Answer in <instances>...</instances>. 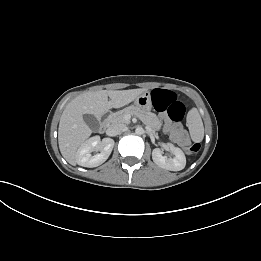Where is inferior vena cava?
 <instances>
[{"label": "inferior vena cava", "instance_id": "602c4592", "mask_svg": "<svg viewBox=\"0 0 261 261\" xmlns=\"http://www.w3.org/2000/svg\"><path fill=\"white\" fill-rule=\"evenodd\" d=\"M126 126L124 124L121 123H115L110 125L107 130H106V134L108 136H117L119 134H121L124 130H125Z\"/></svg>", "mask_w": 261, "mask_h": 261}]
</instances>
